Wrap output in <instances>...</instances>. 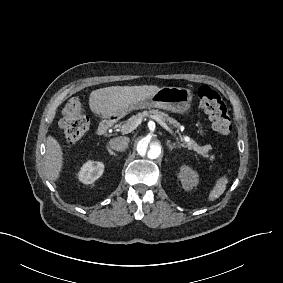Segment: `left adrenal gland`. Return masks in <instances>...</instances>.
Here are the masks:
<instances>
[{
    "mask_svg": "<svg viewBox=\"0 0 283 283\" xmlns=\"http://www.w3.org/2000/svg\"><path fill=\"white\" fill-rule=\"evenodd\" d=\"M166 144L169 146V150L172 151L173 149L177 148L176 144H172L170 140H167ZM180 148V147H178Z\"/></svg>",
    "mask_w": 283,
    "mask_h": 283,
    "instance_id": "obj_1",
    "label": "left adrenal gland"
}]
</instances>
